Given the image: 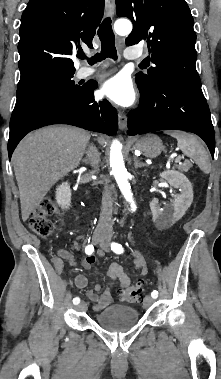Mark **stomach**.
<instances>
[{"label": "stomach", "instance_id": "obj_1", "mask_svg": "<svg viewBox=\"0 0 221 379\" xmlns=\"http://www.w3.org/2000/svg\"><path fill=\"white\" fill-rule=\"evenodd\" d=\"M135 148L141 151L144 156L154 158L160 155L164 146L158 136L149 134L138 139Z\"/></svg>", "mask_w": 221, "mask_h": 379}]
</instances>
